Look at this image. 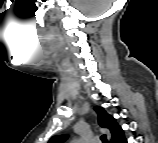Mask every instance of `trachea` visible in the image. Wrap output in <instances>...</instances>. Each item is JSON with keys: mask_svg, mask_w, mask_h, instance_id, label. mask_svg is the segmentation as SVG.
I'll return each mask as SVG.
<instances>
[{"mask_svg": "<svg viewBox=\"0 0 158 143\" xmlns=\"http://www.w3.org/2000/svg\"><path fill=\"white\" fill-rule=\"evenodd\" d=\"M101 140L103 143H107V139H106V136L105 135H102L101 136Z\"/></svg>", "mask_w": 158, "mask_h": 143, "instance_id": "1", "label": "trachea"}]
</instances>
